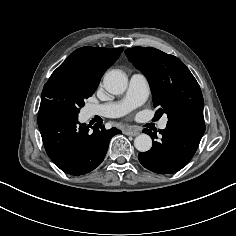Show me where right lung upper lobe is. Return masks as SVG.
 I'll return each mask as SVG.
<instances>
[{
	"instance_id": "1",
	"label": "right lung upper lobe",
	"mask_w": 236,
	"mask_h": 236,
	"mask_svg": "<svg viewBox=\"0 0 236 236\" xmlns=\"http://www.w3.org/2000/svg\"><path fill=\"white\" fill-rule=\"evenodd\" d=\"M122 51L123 48H79L70 54L52 74L64 71L90 85L98 86L106 69L114 64Z\"/></svg>"
}]
</instances>
